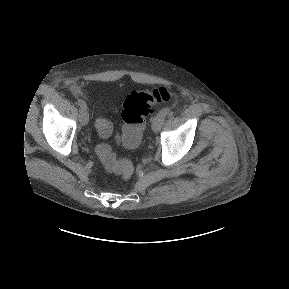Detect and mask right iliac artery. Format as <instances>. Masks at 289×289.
I'll list each match as a JSON object with an SVG mask.
<instances>
[{"label":"right iliac artery","mask_w":289,"mask_h":289,"mask_svg":"<svg viewBox=\"0 0 289 289\" xmlns=\"http://www.w3.org/2000/svg\"><path fill=\"white\" fill-rule=\"evenodd\" d=\"M77 103L81 108H87V105L83 100L78 99Z\"/></svg>","instance_id":"right-iliac-artery-1"}]
</instances>
